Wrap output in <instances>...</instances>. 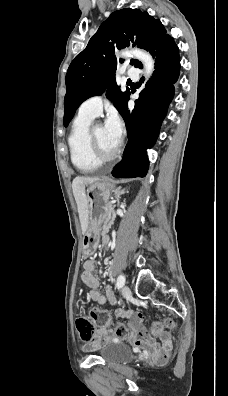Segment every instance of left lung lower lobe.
<instances>
[{
    "instance_id": "1",
    "label": "left lung lower lobe",
    "mask_w": 228,
    "mask_h": 396,
    "mask_svg": "<svg viewBox=\"0 0 228 396\" xmlns=\"http://www.w3.org/2000/svg\"><path fill=\"white\" fill-rule=\"evenodd\" d=\"M147 51L155 59V71L146 85L147 89L135 102V108L130 111L126 101L120 113L126 123L129 140L122 160L112 171L115 178L145 177L147 174L149 160L146 150L156 142L160 125L174 96L173 84L179 77V49L169 34L155 38ZM134 125L136 128L132 133Z\"/></svg>"
}]
</instances>
